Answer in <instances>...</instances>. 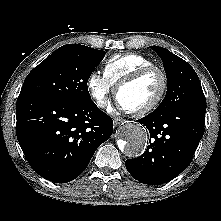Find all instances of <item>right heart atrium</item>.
Returning <instances> with one entry per match:
<instances>
[{"instance_id":"right-heart-atrium-1","label":"right heart atrium","mask_w":221,"mask_h":221,"mask_svg":"<svg viewBox=\"0 0 221 221\" xmlns=\"http://www.w3.org/2000/svg\"><path fill=\"white\" fill-rule=\"evenodd\" d=\"M112 87L108 79L96 71L91 72L87 79L89 94L99 108H105L108 105Z\"/></svg>"}]
</instances>
